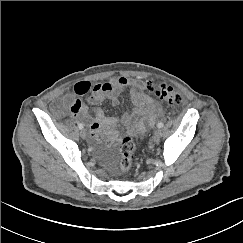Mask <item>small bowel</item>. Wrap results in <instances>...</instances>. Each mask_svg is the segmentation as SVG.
<instances>
[{
    "instance_id": "obj_1",
    "label": "small bowel",
    "mask_w": 243,
    "mask_h": 243,
    "mask_svg": "<svg viewBox=\"0 0 243 243\" xmlns=\"http://www.w3.org/2000/svg\"><path fill=\"white\" fill-rule=\"evenodd\" d=\"M146 87L147 83L141 79L123 76L95 84L80 81L74 85V94H87V102L94 106L105 99L110 100L114 106L118 105L121 91L129 88L133 108L121 116H106L99 107L94 108L90 115L88 107L74 94L60 97L56 101L55 108L60 112L69 109L74 119L90 120V134L98 136L105 145L113 146L120 139V126L127 134L139 137L164 114L157 101L145 93Z\"/></svg>"
}]
</instances>
